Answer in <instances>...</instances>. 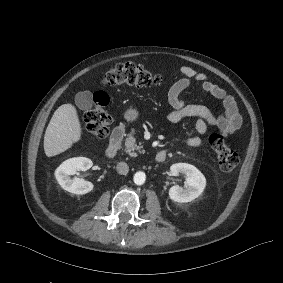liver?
I'll use <instances>...</instances> for the list:
<instances>
[{
    "label": "liver",
    "mask_w": 283,
    "mask_h": 283,
    "mask_svg": "<svg viewBox=\"0 0 283 283\" xmlns=\"http://www.w3.org/2000/svg\"><path fill=\"white\" fill-rule=\"evenodd\" d=\"M81 126L76 109L63 104L54 112L44 136V151L48 157L60 154L78 142Z\"/></svg>",
    "instance_id": "1"
}]
</instances>
